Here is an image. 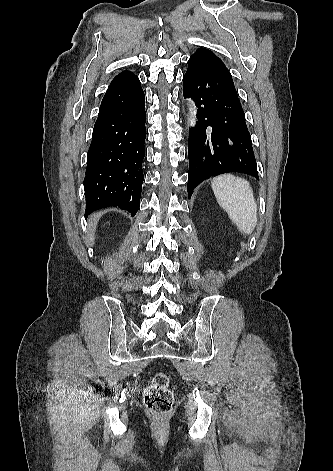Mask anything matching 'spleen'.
Wrapping results in <instances>:
<instances>
[{
    "label": "spleen",
    "mask_w": 333,
    "mask_h": 471,
    "mask_svg": "<svg viewBox=\"0 0 333 471\" xmlns=\"http://www.w3.org/2000/svg\"><path fill=\"white\" fill-rule=\"evenodd\" d=\"M218 204L223 208L238 230L245 235L257 225V204L249 182L241 177L223 174L211 183Z\"/></svg>",
    "instance_id": "spleen-1"
}]
</instances>
